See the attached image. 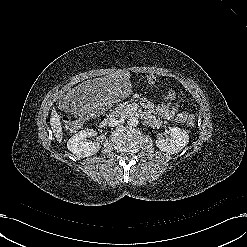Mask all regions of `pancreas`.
<instances>
[{
    "instance_id": "obj_1",
    "label": "pancreas",
    "mask_w": 247,
    "mask_h": 247,
    "mask_svg": "<svg viewBox=\"0 0 247 247\" xmlns=\"http://www.w3.org/2000/svg\"><path fill=\"white\" fill-rule=\"evenodd\" d=\"M119 110L122 112V113H130L131 112V108L130 107H120Z\"/></svg>"
}]
</instances>
